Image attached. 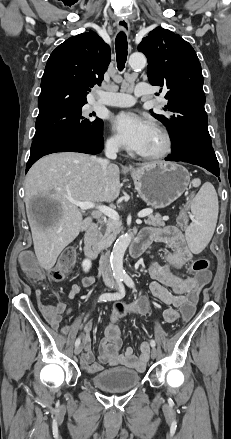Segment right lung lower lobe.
Instances as JSON below:
<instances>
[{"label":"right lung lower lobe","instance_id":"1","mask_svg":"<svg viewBox=\"0 0 231 439\" xmlns=\"http://www.w3.org/2000/svg\"><path fill=\"white\" fill-rule=\"evenodd\" d=\"M102 148V133L100 135L89 136L61 134L34 140L31 145L26 172L38 159L47 154L68 151L96 154L99 153Z\"/></svg>","mask_w":231,"mask_h":439}]
</instances>
